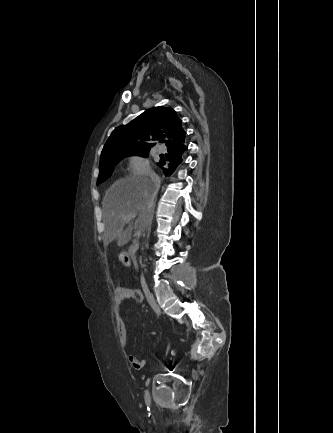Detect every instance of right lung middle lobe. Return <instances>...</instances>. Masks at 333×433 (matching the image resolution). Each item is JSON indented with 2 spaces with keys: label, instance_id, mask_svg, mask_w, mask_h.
<instances>
[{
  "label": "right lung middle lobe",
  "instance_id": "obj_1",
  "mask_svg": "<svg viewBox=\"0 0 333 433\" xmlns=\"http://www.w3.org/2000/svg\"><path fill=\"white\" fill-rule=\"evenodd\" d=\"M150 149L146 150H136V151H130V152H124V153H116L112 154L111 156L100 160V166H99V177L97 184L102 183L105 181L113 172L114 166L120 162L123 158L128 156H144L147 157L149 154Z\"/></svg>",
  "mask_w": 333,
  "mask_h": 433
}]
</instances>
